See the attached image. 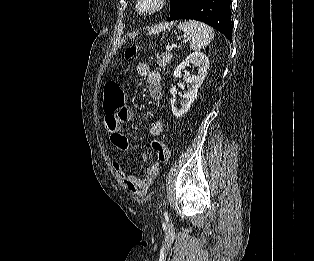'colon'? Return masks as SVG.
Returning a JSON list of instances; mask_svg holds the SVG:
<instances>
[{
  "label": "colon",
  "mask_w": 314,
  "mask_h": 261,
  "mask_svg": "<svg viewBox=\"0 0 314 261\" xmlns=\"http://www.w3.org/2000/svg\"><path fill=\"white\" fill-rule=\"evenodd\" d=\"M137 53L135 47H129L125 51V59H132ZM104 110L113 112L125 103V94L121 85L116 81H109L105 85ZM152 149L156 153L157 159L160 163H165L170 158V149L161 141L155 139L152 141Z\"/></svg>",
  "instance_id": "1"
}]
</instances>
